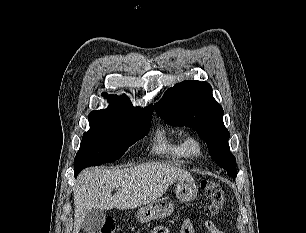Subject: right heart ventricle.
Masks as SVG:
<instances>
[{
	"label": "right heart ventricle",
	"instance_id": "obj_1",
	"mask_svg": "<svg viewBox=\"0 0 306 233\" xmlns=\"http://www.w3.org/2000/svg\"><path fill=\"white\" fill-rule=\"evenodd\" d=\"M156 153L175 162H182L186 157L184 151V138L179 134H168L165 131L158 133V139L154 145Z\"/></svg>",
	"mask_w": 306,
	"mask_h": 233
}]
</instances>
